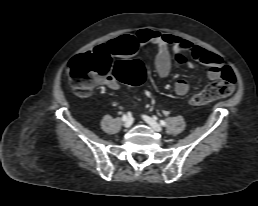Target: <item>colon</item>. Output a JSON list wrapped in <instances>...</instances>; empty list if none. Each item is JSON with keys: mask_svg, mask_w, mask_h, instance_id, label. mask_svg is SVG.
I'll use <instances>...</instances> for the list:
<instances>
[{"mask_svg": "<svg viewBox=\"0 0 258 206\" xmlns=\"http://www.w3.org/2000/svg\"><path fill=\"white\" fill-rule=\"evenodd\" d=\"M68 76L74 92L80 96L89 93L98 82L114 77L122 83L138 85L144 79V67L137 60L118 61L114 65L108 53L103 50H92L74 57L68 65ZM236 85L233 70L222 68L218 81L209 84L201 92L193 95L189 102L200 106L217 98L230 95Z\"/></svg>", "mask_w": 258, "mask_h": 206, "instance_id": "5ec220e1", "label": "colon"}]
</instances>
